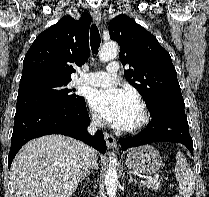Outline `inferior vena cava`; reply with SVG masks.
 Segmentation results:
<instances>
[{
	"label": "inferior vena cava",
	"instance_id": "obj_1",
	"mask_svg": "<svg viewBox=\"0 0 209 197\" xmlns=\"http://www.w3.org/2000/svg\"><path fill=\"white\" fill-rule=\"evenodd\" d=\"M104 126V120L99 116L92 117L91 124L88 127L90 134H94L97 128ZM86 160H85V171H89L90 168H97L98 164L94 157V151L90 147H86Z\"/></svg>",
	"mask_w": 209,
	"mask_h": 197
}]
</instances>
